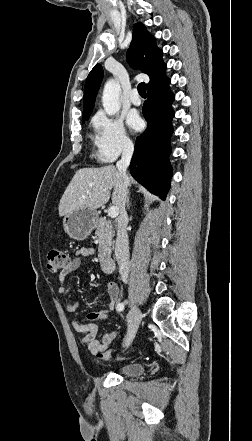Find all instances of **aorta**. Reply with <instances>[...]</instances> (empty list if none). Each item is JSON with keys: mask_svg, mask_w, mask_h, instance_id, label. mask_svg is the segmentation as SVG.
I'll return each instance as SVG.
<instances>
[{"mask_svg": "<svg viewBox=\"0 0 252 441\" xmlns=\"http://www.w3.org/2000/svg\"><path fill=\"white\" fill-rule=\"evenodd\" d=\"M121 87L114 79L105 83L102 94V105L107 115L112 116L120 111L119 95Z\"/></svg>", "mask_w": 252, "mask_h": 441, "instance_id": "762f6f07", "label": "aorta"}]
</instances>
